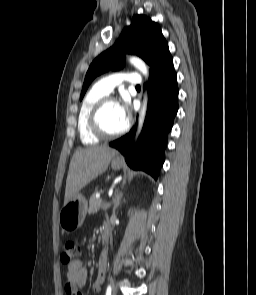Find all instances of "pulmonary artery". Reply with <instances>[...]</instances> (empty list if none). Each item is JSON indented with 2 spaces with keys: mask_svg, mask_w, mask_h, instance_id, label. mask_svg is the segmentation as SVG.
<instances>
[{
  "mask_svg": "<svg viewBox=\"0 0 256 295\" xmlns=\"http://www.w3.org/2000/svg\"><path fill=\"white\" fill-rule=\"evenodd\" d=\"M123 82L138 85L141 83V77L137 72L114 73L101 78L97 86L106 94H110L113 89Z\"/></svg>",
  "mask_w": 256,
  "mask_h": 295,
  "instance_id": "e3ab8cb5",
  "label": "pulmonary artery"
}]
</instances>
